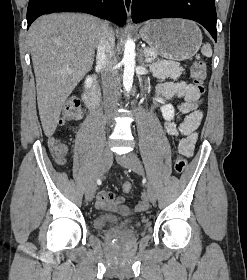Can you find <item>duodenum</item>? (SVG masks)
<instances>
[{"label":"duodenum","mask_w":247,"mask_h":280,"mask_svg":"<svg viewBox=\"0 0 247 280\" xmlns=\"http://www.w3.org/2000/svg\"><path fill=\"white\" fill-rule=\"evenodd\" d=\"M85 103L87 107L95 112L100 105V94L97 85L95 82L90 83L84 93Z\"/></svg>","instance_id":"duodenum-1"}]
</instances>
